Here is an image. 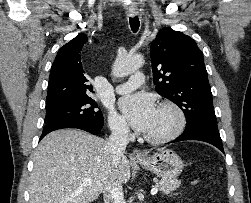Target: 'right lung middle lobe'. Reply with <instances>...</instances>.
I'll return each mask as SVG.
<instances>
[{
    "label": "right lung middle lobe",
    "instance_id": "1",
    "mask_svg": "<svg viewBox=\"0 0 251 203\" xmlns=\"http://www.w3.org/2000/svg\"><path fill=\"white\" fill-rule=\"evenodd\" d=\"M97 103L91 98L68 102L52 107H46L45 124L62 119H84L95 125L103 126V115L97 109Z\"/></svg>",
    "mask_w": 251,
    "mask_h": 203
}]
</instances>
